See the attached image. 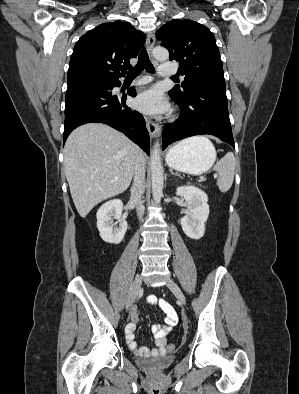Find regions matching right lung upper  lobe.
I'll use <instances>...</instances> for the list:
<instances>
[{
	"label": "right lung upper lobe",
	"mask_w": 299,
	"mask_h": 394,
	"mask_svg": "<svg viewBox=\"0 0 299 394\" xmlns=\"http://www.w3.org/2000/svg\"><path fill=\"white\" fill-rule=\"evenodd\" d=\"M145 35L121 21L103 23L75 44L69 63L68 86L97 80L119 79L131 68Z\"/></svg>",
	"instance_id": "cb5924a9"
}]
</instances>
